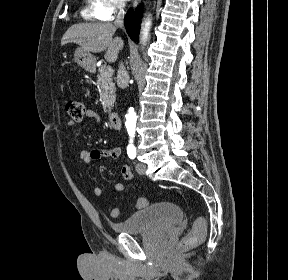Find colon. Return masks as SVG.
<instances>
[{
  "mask_svg": "<svg viewBox=\"0 0 288 280\" xmlns=\"http://www.w3.org/2000/svg\"><path fill=\"white\" fill-rule=\"evenodd\" d=\"M65 108L69 116L75 120L80 121L85 112V108L83 104L76 100H67L65 102ZM148 205V200L145 197L140 198L137 203L136 207L141 209ZM111 217L117 218L120 215V210L118 208H114L111 210ZM206 231V223L205 219L201 216L197 217L193 223V226L185 240L186 245H194L201 242L205 236Z\"/></svg>",
  "mask_w": 288,
  "mask_h": 280,
  "instance_id": "obj_1",
  "label": "colon"
}]
</instances>
